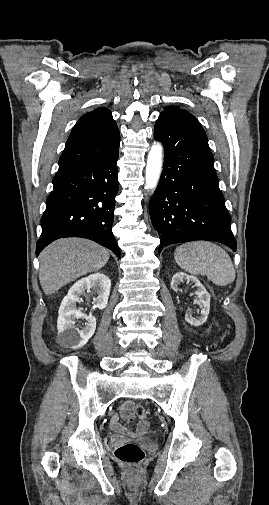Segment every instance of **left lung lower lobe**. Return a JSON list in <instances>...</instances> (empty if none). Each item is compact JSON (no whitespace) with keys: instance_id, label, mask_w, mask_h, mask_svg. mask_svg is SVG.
Returning <instances> with one entry per match:
<instances>
[{"instance_id":"left-lung-lower-lobe-1","label":"left lung lower lobe","mask_w":269,"mask_h":505,"mask_svg":"<svg viewBox=\"0 0 269 505\" xmlns=\"http://www.w3.org/2000/svg\"><path fill=\"white\" fill-rule=\"evenodd\" d=\"M154 138L161 141L164 165L150 201L158 231L159 253L170 244L194 240L223 243L236 251V239L225 207L207 136L191 114L160 115Z\"/></svg>"}]
</instances>
